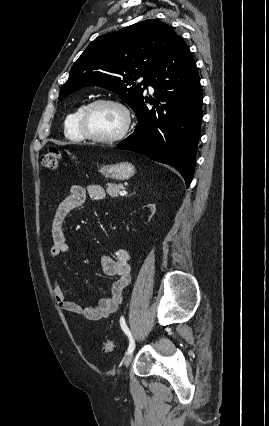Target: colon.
I'll return each mask as SVG.
<instances>
[{
	"instance_id": "5ec220e1",
	"label": "colon",
	"mask_w": 269,
	"mask_h": 426,
	"mask_svg": "<svg viewBox=\"0 0 269 426\" xmlns=\"http://www.w3.org/2000/svg\"><path fill=\"white\" fill-rule=\"evenodd\" d=\"M66 152H62L56 148H49L41 156V166L48 170H54L57 168L61 157ZM114 349V342L112 340H105L102 345V350L105 353H109Z\"/></svg>"
}]
</instances>
